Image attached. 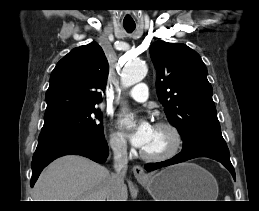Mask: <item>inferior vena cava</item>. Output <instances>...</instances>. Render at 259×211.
Instances as JSON below:
<instances>
[{"mask_svg": "<svg viewBox=\"0 0 259 211\" xmlns=\"http://www.w3.org/2000/svg\"><path fill=\"white\" fill-rule=\"evenodd\" d=\"M114 154V170L111 174L110 188L107 201H121L119 192L124 186V177L128 168L127 146L121 141L112 144Z\"/></svg>", "mask_w": 259, "mask_h": 211, "instance_id": "1", "label": "inferior vena cava"}]
</instances>
